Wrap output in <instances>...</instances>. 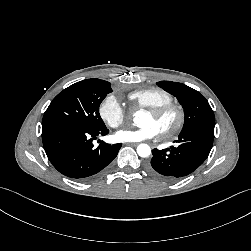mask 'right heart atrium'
<instances>
[{
    "label": "right heart atrium",
    "mask_w": 251,
    "mask_h": 251,
    "mask_svg": "<svg viewBox=\"0 0 251 251\" xmlns=\"http://www.w3.org/2000/svg\"><path fill=\"white\" fill-rule=\"evenodd\" d=\"M101 119L111 128H118L124 124L127 112L119 98L115 95H108L99 106Z\"/></svg>",
    "instance_id": "d8ad5b80"
}]
</instances>
